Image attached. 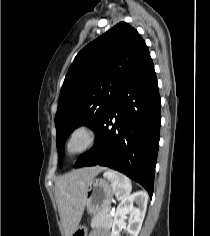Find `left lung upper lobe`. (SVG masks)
<instances>
[{
    "label": "left lung upper lobe",
    "mask_w": 210,
    "mask_h": 236,
    "mask_svg": "<svg viewBox=\"0 0 210 236\" xmlns=\"http://www.w3.org/2000/svg\"><path fill=\"white\" fill-rule=\"evenodd\" d=\"M150 61L144 40L125 22L77 54L61 88L55 116L60 167L69 134L83 124L95 131L119 92Z\"/></svg>",
    "instance_id": "left-lung-upper-lobe-1"
}]
</instances>
